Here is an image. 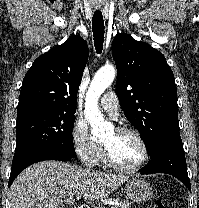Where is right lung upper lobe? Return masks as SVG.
<instances>
[{"label":"right lung upper lobe","instance_id":"right-lung-upper-lobe-1","mask_svg":"<svg viewBox=\"0 0 199 208\" xmlns=\"http://www.w3.org/2000/svg\"><path fill=\"white\" fill-rule=\"evenodd\" d=\"M88 54L86 41L76 35L39 56L23 79L17 111L75 112Z\"/></svg>","mask_w":199,"mask_h":208}]
</instances>
